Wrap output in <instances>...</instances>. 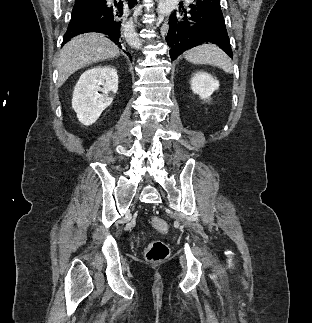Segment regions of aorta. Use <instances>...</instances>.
Masks as SVG:
<instances>
[{"mask_svg":"<svg viewBox=\"0 0 312 323\" xmlns=\"http://www.w3.org/2000/svg\"><path fill=\"white\" fill-rule=\"evenodd\" d=\"M125 38H126V42H128V44H129V46H131V48H136V50H140V48L142 46V42H141L137 32H135V30H132V32H128V34H126Z\"/></svg>","mask_w":312,"mask_h":323,"instance_id":"1","label":"aorta"}]
</instances>
